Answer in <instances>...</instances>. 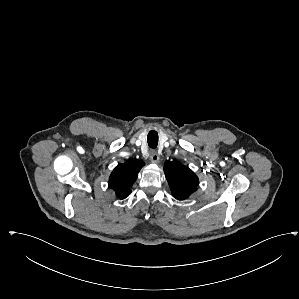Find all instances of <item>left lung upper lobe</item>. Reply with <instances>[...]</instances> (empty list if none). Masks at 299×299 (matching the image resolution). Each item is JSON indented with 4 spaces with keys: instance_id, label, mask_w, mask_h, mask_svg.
<instances>
[{
    "instance_id": "obj_1",
    "label": "left lung upper lobe",
    "mask_w": 299,
    "mask_h": 299,
    "mask_svg": "<svg viewBox=\"0 0 299 299\" xmlns=\"http://www.w3.org/2000/svg\"><path fill=\"white\" fill-rule=\"evenodd\" d=\"M164 171L171 192L176 199L184 200L196 191L199 180L188 167L178 161H167L164 164Z\"/></svg>"
}]
</instances>
